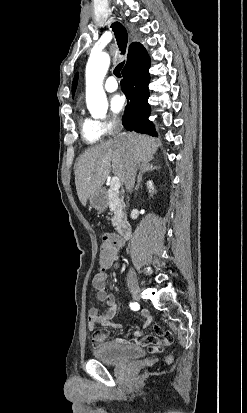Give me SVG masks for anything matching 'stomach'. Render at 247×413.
<instances>
[{"label":"stomach","mask_w":247,"mask_h":413,"mask_svg":"<svg viewBox=\"0 0 247 413\" xmlns=\"http://www.w3.org/2000/svg\"><path fill=\"white\" fill-rule=\"evenodd\" d=\"M90 207L96 209V211H105L109 204V198L106 190L104 188H99L95 190L93 194L89 196Z\"/></svg>","instance_id":"stomach-1"}]
</instances>
